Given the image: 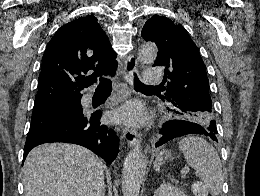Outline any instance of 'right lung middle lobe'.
I'll return each instance as SVG.
<instances>
[{"mask_svg": "<svg viewBox=\"0 0 260 196\" xmlns=\"http://www.w3.org/2000/svg\"><path fill=\"white\" fill-rule=\"evenodd\" d=\"M64 101V100H63ZM55 102L43 106L34 107L29 132H33L59 123H66L83 118V109L64 108Z\"/></svg>", "mask_w": 260, "mask_h": 196, "instance_id": "dd1d6c3e", "label": "right lung middle lobe"}]
</instances>
